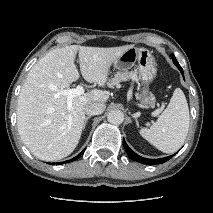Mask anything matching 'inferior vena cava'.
<instances>
[{
  "label": "inferior vena cava",
  "instance_id": "inferior-vena-cava-1",
  "mask_svg": "<svg viewBox=\"0 0 213 213\" xmlns=\"http://www.w3.org/2000/svg\"><path fill=\"white\" fill-rule=\"evenodd\" d=\"M106 106L101 102H91L87 104L84 108V111L89 116L102 114L105 110Z\"/></svg>",
  "mask_w": 213,
  "mask_h": 213
}]
</instances>
